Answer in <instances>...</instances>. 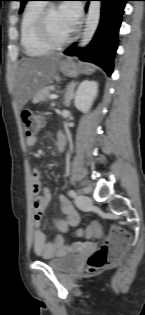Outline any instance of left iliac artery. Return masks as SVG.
Instances as JSON below:
<instances>
[{"label": "left iliac artery", "instance_id": "left-iliac-artery-1", "mask_svg": "<svg viewBox=\"0 0 145 315\" xmlns=\"http://www.w3.org/2000/svg\"><path fill=\"white\" fill-rule=\"evenodd\" d=\"M68 195H69L70 197L74 198V197H76V192H75L74 190H70V191L68 192Z\"/></svg>", "mask_w": 145, "mask_h": 315}]
</instances>
